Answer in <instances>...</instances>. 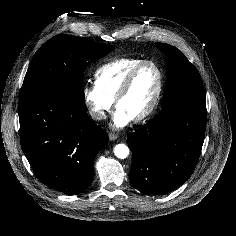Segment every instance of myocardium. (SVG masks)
Returning <instances> with one entry per match:
<instances>
[{
    "label": "myocardium",
    "instance_id": "myocardium-1",
    "mask_svg": "<svg viewBox=\"0 0 236 236\" xmlns=\"http://www.w3.org/2000/svg\"><path fill=\"white\" fill-rule=\"evenodd\" d=\"M147 65H151L156 69V71L158 73V87H157V90H156V93H155V96L153 98L151 105L143 113L134 117L133 118L134 122H141V121H144V120L148 119L149 117H151L155 113V111L157 110V108L160 104V101H161L162 95H163V91H164V83H165V76H164V72H163V69L161 68V66L157 62H155L154 60H144L141 63H139L126 76L125 80L123 81V83H122V85H121V87L114 99L115 105L117 106L119 101L130 90L136 75L139 73V71L143 67H145Z\"/></svg>",
    "mask_w": 236,
    "mask_h": 236
}]
</instances>
